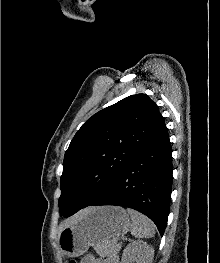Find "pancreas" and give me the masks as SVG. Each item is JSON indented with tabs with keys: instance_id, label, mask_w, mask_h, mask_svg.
I'll use <instances>...</instances> for the list:
<instances>
[{
	"instance_id": "obj_1",
	"label": "pancreas",
	"mask_w": 220,
	"mask_h": 263,
	"mask_svg": "<svg viewBox=\"0 0 220 263\" xmlns=\"http://www.w3.org/2000/svg\"><path fill=\"white\" fill-rule=\"evenodd\" d=\"M99 251L103 257L111 256L118 251V246L116 245V242L110 241L109 243L103 244L99 248Z\"/></svg>"
}]
</instances>
